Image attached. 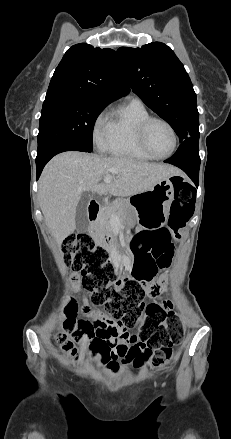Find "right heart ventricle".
Instances as JSON below:
<instances>
[{
	"instance_id": "right-heart-ventricle-1",
	"label": "right heart ventricle",
	"mask_w": 231,
	"mask_h": 439,
	"mask_svg": "<svg viewBox=\"0 0 231 439\" xmlns=\"http://www.w3.org/2000/svg\"><path fill=\"white\" fill-rule=\"evenodd\" d=\"M149 117L151 114L140 100L132 99L123 104L110 113L100 149L117 157L138 161L152 160L138 141L139 128Z\"/></svg>"
}]
</instances>
